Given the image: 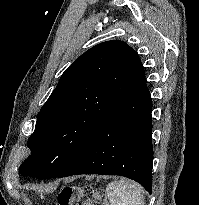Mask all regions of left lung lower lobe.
Listing matches in <instances>:
<instances>
[{"label":"left lung lower lobe","instance_id":"left-lung-lower-lobe-1","mask_svg":"<svg viewBox=\"0 0 199 205\" xmlns=\"http://www.w3.org/2000/svg\"><path fill=\"white\" fill-rule=\"evenodd\" d=\"M152 100L141 66L127 94L105 115L75 160L57 177L120 175L152 191Z\"/></svg>","mask_w":199,"mask_h":205}]
</instances>
